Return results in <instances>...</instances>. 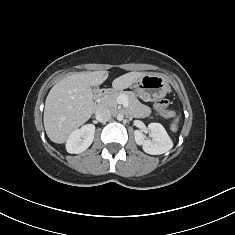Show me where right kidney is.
<instances>
[{"mask_svg": "<svg viewBox=\"0 0 235 235\" xmlns=\"http://www.w3.org/2000/svg\"><path fill=\"white\" fill-rule=\"evenodd\" d=\"M95 126L87 124L73 131L67 139L66 150L71 154L84 152L93 142Z\"/></svg>", "mask_w": 235, "mask_h": 235, "instance_id": "1", "label": "right kidney"}]
</instances>
